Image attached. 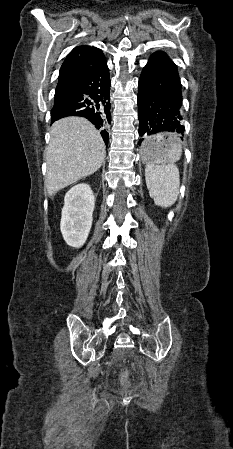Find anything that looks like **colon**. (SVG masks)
I'll return each instance as SVG.
<instances>
[{
	"mask_svg": "<svg viewBox=\"0 0 233 449\" xmlns=\"http://www.w3.org/2000/svg\"><path fill=\"white\" fill-rule=\"evenodd\" d=\"M128 379H129L128 373L125 372L121 375V383L122 384L126 385L128 383Z\"/></svg>",
	"mask_w": 233,
	"mask_h": 449,
	"instance_id": "5ec220e1",
	"label": "colon"
}]
</instances>
